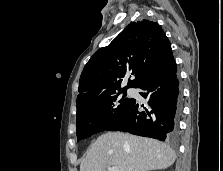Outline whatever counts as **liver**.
I'll list each match as a JSON object with an SVG mask.
<instances>
[{
	"label": "liver",
	"mask_w": 223,
	"mask_h": 171,
	"mask_svg": "<svg viewBox=\"0 0 223 171\" xmlns=\"http://www.w3.org/2000/svg\"><path fill=\"white\" fill-rule=\"evenodd\" d=\"M176 159L167 144L155 139L121 132H108L91 144L81 162L80 171H106L116 166L119 171L165 169Z\"/></svg>",
	"instance_id": "6515ba94"
}]
</instances>
